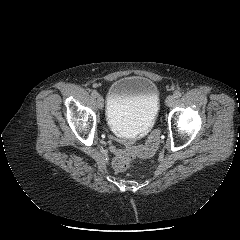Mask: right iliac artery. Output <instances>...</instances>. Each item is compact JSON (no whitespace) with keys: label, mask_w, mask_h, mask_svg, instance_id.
Masks as SVG:
<instances>
[{"label":"right iliac artery","mask_w":240,"mask_h":240,"mask_svg":"<svg viewBox=\"0 0 240 240\" xmlns=\"http://www.w3.org/2000/svg\"><path fill=\"white\" fill-rule=\"evenodd\" d=\"M98 95H99V94H98L97 91H95V90L92 91V96H93V97H98Z\"/></svg>","instance_id":"1"}]
</instances>
